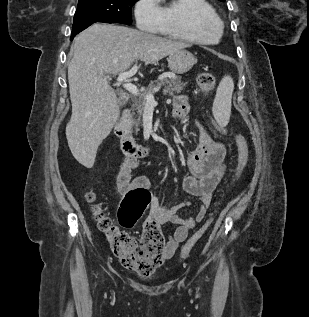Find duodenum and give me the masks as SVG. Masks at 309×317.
I'll list each match as a JSON object with an SVG mask.
<instances>
[{"instance_id": "duodenum-1", "label": "duodenum", "mask_w": 309, "mask_h": 317, "mask_svg": "<svg viewBox=\"0 0 309 317\" xmlns=\"http://www.w3.org/2000/svg\"><path fill=\"white\" fill-rule=\"evenodd\" d=\"M131 117L129 109L122 112L121 118L115 126V133L120 139V145L124 154L128 157L140 158L148 155L151 147L135 142L129 133L128 123Z\"/></svg>"}]
</instances>
